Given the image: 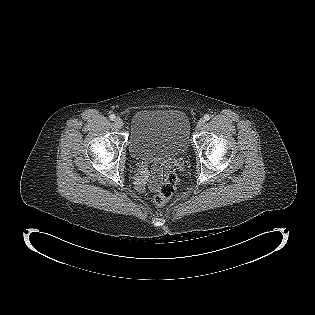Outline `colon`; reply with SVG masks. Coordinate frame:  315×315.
Instances as JSON below:
<instances>
[{"mask_svg": "<svg viewBox=\"0 0 315 315\" xmlns=\"http://www.w3.org/2000/svg\"><path fill=\"white\" fill-rule=\"evenodd\" d=\"M161 175L163 177V180L161 185L157 189V193L155 196V202L158 206H162L173 197L176 192L177 186V176L174 172L168 171Z\"/></svg>", "mask_w": 315, "mask_h": 315, "instance_id": "colon-1", "label": "colon"}]
</instances>
